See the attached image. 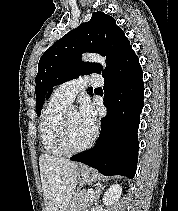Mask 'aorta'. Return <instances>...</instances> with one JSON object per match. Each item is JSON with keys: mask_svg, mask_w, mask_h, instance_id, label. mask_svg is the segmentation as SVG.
Segmentation results:
<instances>
[{"mask_svg": "<svg viewBox=\"0 0 178 211\" xmlns=\"http://www.w3.org/2000/svg\"><path fill=\"white\" fill-rule=\"evenodd\" d=\"M82 61L90 63H99L103 68L107 67L106 58L95 53L83 54Z\"/></svg>", "mask_w": 178, "mask_h": 211, "instance_id": "aorta-1", "label": "aorta"}]
</instances>
